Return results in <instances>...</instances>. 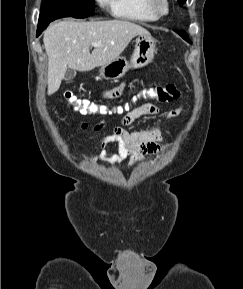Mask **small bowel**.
Segmentation results:
<instances>
[{
    "instance_id": "small-bowel-1",
    "label": "small bowel",
    "mask_w": 243,
    "mask_h": 289,
    "mask_svg": "<svg viewBox=\"0 0 243 289\" xmlns=\"http://www.w3.org/2000/svg\"><path fill=\"white\" fill-rule=\"evenodd\" d=\"M124 88L125 83L115 88L105 90L102 95L106 99H114L123 93ZM159 112L160 107L158 105L148 103L132 109L122 117L120 125L114 127L113 133L108 140V142L114 143L117 146V151L108 156L112 163H119L127 158H130L133 161H141L145 155L161 153L168 148L164 143L162 126H157L148 130L135 131H129L125 128L143 116L156 115ZM181 112V107L170 110L166 114V119L169 120L177 117ZM104 125V121H101L93 125L92 129L94 131H99ZM88 127L89 125L87 122H82L80 124L81 129H87ZM103 156V154L99 155V157Z\"/></svg>"
}]
</instances>
